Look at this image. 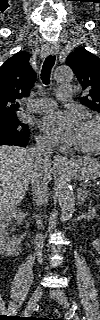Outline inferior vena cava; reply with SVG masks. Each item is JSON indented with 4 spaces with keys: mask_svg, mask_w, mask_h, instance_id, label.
Returning <instances> with one entry per match:
<instances>
[{
    "mask_svg": "<svg viewBox=\"0 0 100 320\" xmlns=\"http://www.w3.org/2000/svg\"><path fill=\"white\" fill-rule=\"evenodd\" d=\"M30 153L35 159V169L31 177L33 200L38 207L45 205L48 202V165L50 164V156L52 154V147L49 140L39 138L36 140V146L30 149ZM38 228H41L42 221H36ZM35 250L37 252L38 262L41 264L42 248L44 237L39 233L35 238Z\"/></svg>",
    "mask_w": 100,
    "mask_h": 320,
    "instance_id": "inferior-vena-cava-1",
    "label": "inferior vena cava"
}]
</instances>
